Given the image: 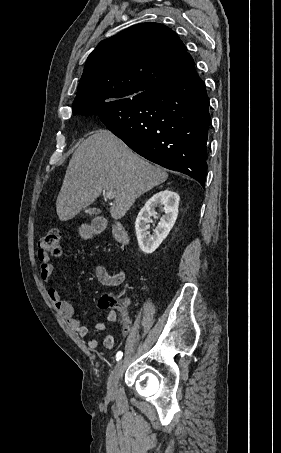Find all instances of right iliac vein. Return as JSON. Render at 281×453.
<instances>
[{
    "label": "right iliac vein",
    "instance_id": "right-iliac-vein-1",
    "mask_svg": "<svg viewBox=\"0 0 281 453\" xmlns=\"http://www.w3.org/2000/svg\"><path fill=\"white\" fill-rule=\"evenodd\" d=\"M118 366L116 369H114L113 374L110 375L108 379V388L107 391L108 393H115L117 389V381L119 380V376H121L122 372L124 371V366L123 361L119 360L118 361Z\"/></svg>",
    "mask_w": 281,
    "mask_h": 453
}]
</instances>
